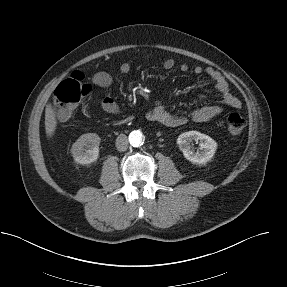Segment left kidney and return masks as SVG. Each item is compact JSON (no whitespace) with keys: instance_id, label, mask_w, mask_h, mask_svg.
<instances>
[{"instance_id":"obj_1","label":"left kidney","mask_w":287,"mask_h":287,"mask_svg":"<svg viewBox=\"0 0 287 287\" xmlns=\"http://www.w3.org/2000/svg\"><path fill=\"white\" fill-rule=\"evenodd\" d=\"M199 142L200 150L194 152L191 142ZM177 144L183 152L184 157L193 164L205 165L209 162L217 149V143L208 135L198 131L184 132L178 136Z\"/></svg>"}]
</instances>
